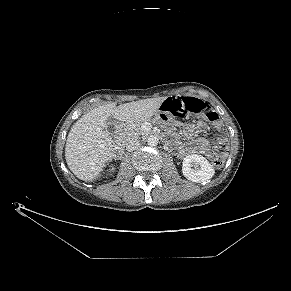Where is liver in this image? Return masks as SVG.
Masks as SVG:
<instances>
[{
	"label": "liver",
	"instance_id": "1",
	"mask_svg": "<svg viewBox=\"0 0 291 291\" xmlns=\"http://www.w3.org/2000/svg\"><path fill=\"white\" fill-rule=\"evenodd\" d=\"M166 97L138 100L116 106L110 102L84 114L72 126L66 141L69 169L83 181H92L111 160L114 141L106 130L110 116L124 124L148 120L159 111Z\"/></svg>",
	"mask_w": 291,
	"mask_h": 291
}]
</instances>
